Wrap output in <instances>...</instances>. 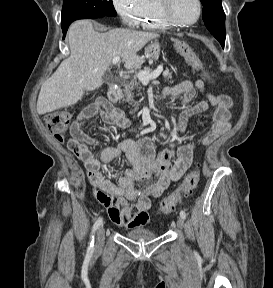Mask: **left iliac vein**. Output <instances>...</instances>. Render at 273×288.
Listing matches in <instances>:
<instances>
[{
    "label": "left iliac vein",
    "mask_w": 273,
    "mask_h": 288,
    "mask_svg": "<svg viewBox=\"0 0 273 288\" xmlns=\"http://www.w3.org/2000/svg\"><path fill=\"white\" fill-rule=\"evenodd\" d=\"M177 227H178L180 230H182L183 227H184V220H183L181 217L178 218V220H177Z\"/></svg>",
    "instance_id": "1"
}]
</instances>
